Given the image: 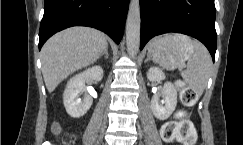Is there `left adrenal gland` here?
<instances>
[{
	"label": "left adrenal gland",
	"mask_w": 243,
	"mask_h": 145,
	"mask_svg": "<svg viewBox=\"0 0 243 145\" xmlns=\"http://www.w3.org/2000/svg\"><path fill=\"white\" fill-rule=\"evenodd\" d=\"M148 61H150V57L149 56H147V58L145 60V63L148 62Z\"/></svg>",
	"instance_id": "left-adrenal-gland-1"
}]
</instances>
